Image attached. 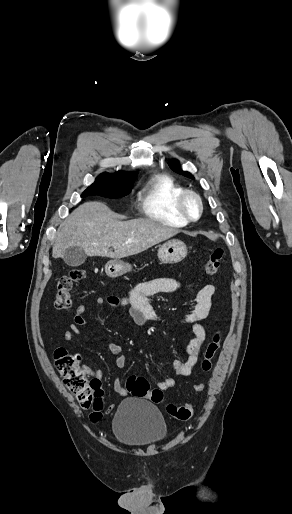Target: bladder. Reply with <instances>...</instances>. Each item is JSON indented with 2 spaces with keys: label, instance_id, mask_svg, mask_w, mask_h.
<instances>
[{
  "label": "bladder",
  "instance_id": "31cf9c89",
  "mask_svg": "<svg viewBox=\"0 0 292 514\" xmlns=\"http://www.w3.org/2000/svg\"><path fill=\"white\" fill-rule=\"evenodd\" d=\"M113 433L123 445L143 447L165 439L168 427L155 405L145 400L129 398L119 405L114 415Z\"/></svg>",
  "mask_w": 292,
  "mask_h": 514
}]
</instances>
